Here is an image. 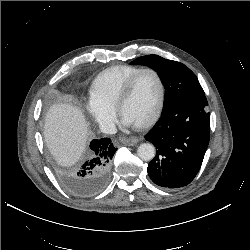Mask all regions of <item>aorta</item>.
I'll return each instance as SVG.
<instances>
[{
	"label": "aorta",
	"instance_id": "1",
	"mask_svg": "<svg viewBox=\"0 0 250 250\" xmlns=\"http://www.w3.org/2000/svg\"><path fill=\"white\" fill-rule=\"evenodd\" d=\"M137 154L140 159L150 161L155 156V147L151 143H143L138 147Z\"/></svg>",
	"mask_w": 250,
	"mask_h": 250
}]
</instances>
